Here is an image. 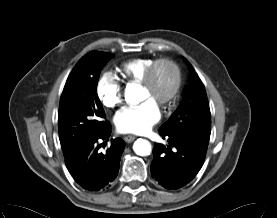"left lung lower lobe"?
Returning <instances> with one entry per match:
<instances>
[{
  "instance_id": "left-lung-lower-lobe-1",
  "label": "left lung lower lobe",
  "mask_w": 277,
  "mask_h": 218,
  "mask_svg": "<svg viewBox=\"0 0 277 218\" xmlns=\"http://www.w3.org/2000/svg\"><path fill=\"white\" fill-rule=\"evenodd\" d=\"M169 145L155 144L151 174L167 189H178L188 184L201 169L210 132L182 129L159 130Z\"/></svg>"
}]
</instances>
